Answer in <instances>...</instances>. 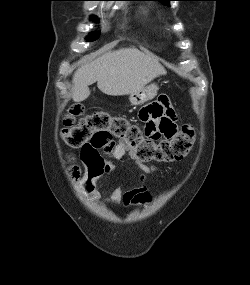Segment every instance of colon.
<instances>
[{
    "label": "colon",
    "instance_id": "1",
    "mask_svg": "<svg viewBox=\"0 0 250 285\" xmlns=\"http://www.w3.org/2000/svg\"><path fill=\"white\" fill-rule=\"evenodd\" d=\"M82 112L81 106H74L63 122L62 137L71 147L112 151L114 138H118L141 162H171L186 156L194 143L195 128L191 124L182 125L176 136H168V141H147L142 128L123 116L96 111L76 121Z\"/></svg>",
    "mask_w": 250,
    "mask_h": 285
}]
</instances>
